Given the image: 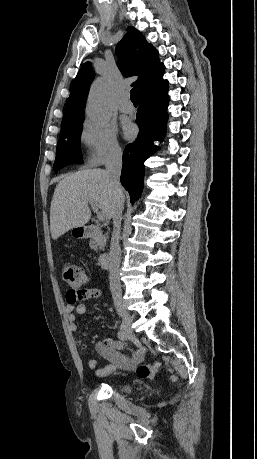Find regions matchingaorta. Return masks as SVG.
Returning <instances> with one entry per match:
<instances>
[{
  "label": "aorta",
  "mask_w": 257,
  "mask_h": 459,
  "mask_svg": "<svg viewBox=\"0 0 257 459\" xmlns=\"http://www.w3.org/2000/svg\"><path fill=\"white\" fill-rule=\"evenodd\" d=\"M112 90L106 79L96 80L89 93L87 116L88 119L97 125L106 124L111 115Z\"/></svg>",
  "instance_id": "aorta-1"
}]
</instances>
